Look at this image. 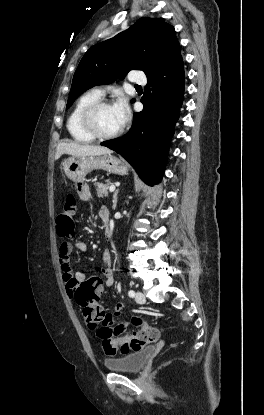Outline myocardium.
Returning <instances> with one entry per match:
<instances>
[{
  "mask_svg": "<svg viewBox=\"0 0 264 415\" xmlns=\"http://www.w3.org/2000/svg\"><path fill=\"white\" fill-rule=\"evenodd\" d=\"M110 105H112L110 101L100 99L88 105L81 113V117H80L81 126L85 130V132L88 133L90 136H92L94 139H98V140L114 139V138L119 137L123 133L124 123L121 125V127L117 131L111 134H102L97 128V125L95 122V116L97 112L104 106H110Z\"/></svg>",
  "mask_w": 264,
  "mask_h": 415,
  "instance_id": "myocardium-1",
  "label": "myocardium"
}]
</instances>
